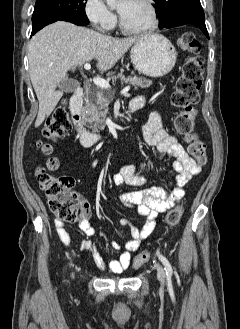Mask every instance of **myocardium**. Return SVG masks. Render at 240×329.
<instances>
[{
	"mask_svg": "<svg viewBox=\"0 0 240 329\" xmlns=\"http://www.w3.org/2000/svg\"><path fill=\"white\" fill-rule=\"evenodd\" d=\"M144 2L147 4V6L150 9L151 22L147 26L142 27V28H130L125 24L121 15L119 14L118 15V25L122 32H124L126 34H131V35H139V34L149 33L158 27L159 14H158V9L156 7L154 0H144Z\"/></svg>",
	"mask_w": 240,
	"mask_h": 329,
	"instance_id": "1",
	"label": "myocardium"
}]
</instances>
